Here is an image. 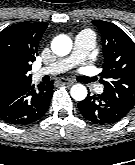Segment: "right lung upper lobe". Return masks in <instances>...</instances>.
<instances>
[{
    "label": "right lung upper lobe",
    "instance_id": "right-lung-upper-lobe-1",
    "mask_svg": "<svg viewBox=\"0 0 135 165\" xmlns=\"http://www.w3.org/2000/svg\"><path fill=\"white\" fill-rule=\"evenodd\" d=\"M47 26L46 22H22L0 32V83L31 80L28 72Z\"/></svg>",
    "mask_w": 135,
    "mask_h": 165
}]
</instances>
